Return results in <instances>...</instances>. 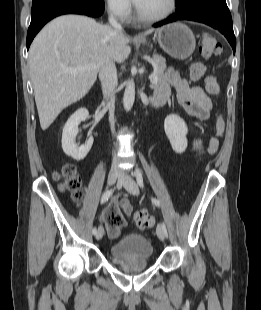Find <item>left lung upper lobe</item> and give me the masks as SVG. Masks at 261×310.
I'll use <instances>...</instances> for the list:
<instances>
[{"label": "left lung upper lobe", "instance_id": "obj_1", "mask_svg": "<svg viewBox=\"0 0 261 310\" xmlns=\"http://www.w3.org/2000/svg\"><path fill=\"white\" fill-rule=\"evenodd\" d=\"M197 0H176L177 11H182L190 7Z\"/></svg>", "mask_w": 261, "mask_h": 310}]
</instances>
